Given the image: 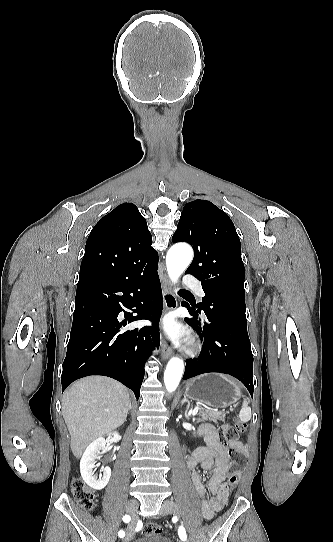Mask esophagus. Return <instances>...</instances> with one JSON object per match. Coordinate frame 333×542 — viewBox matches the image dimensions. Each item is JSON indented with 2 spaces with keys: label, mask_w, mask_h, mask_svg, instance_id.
I'll return each instance as SVG.
<instances>
[{
  "label": "esophagus",
  "mask_w": 333,
  "mask_h": 542,
  "mask_svg": "<svg viewBox=\"0 0 333 542\" xmlns=\"http://www.w3.org/2000/svg\"><path fill=\"white\" fill-rule=\"evenodd\" d=\"M163 300H164V306H165V312H168L169 310H174L178 306L177 299L173 293L170 281L166 275H164L163 278ZM162 345V359L167 360L172 355L173 350L169 347L168 342L165 339H162L161 341Z\"/></svg>",
  "instance_id": "obj_1"
}]
</instances>
